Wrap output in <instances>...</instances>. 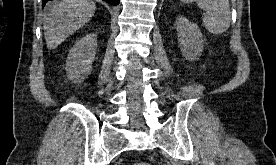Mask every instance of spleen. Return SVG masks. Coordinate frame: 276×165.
Instances as JSON below:
<instances>
[{"label": "spleen", "mask_w": 276, "mask_h": 165, "mask_svg": "<svg viewBox=\"0 0 276 165\" xmlns=\"http://www.w3.org/2000/svg\"><path fill=\"white\" fill-rule=\"evenodd\" d=\"M183 3L197 2L204 11L203 23L212 34L218 35L230 26L231 12L229 0H180Z\"/></svg>", "instance_id": "obj_1"}]
</instances>
